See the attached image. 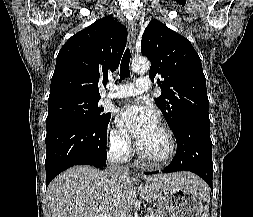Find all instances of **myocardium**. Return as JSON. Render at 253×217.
<instances>
[{
    "label": "myocardium",
    "mask_w": 253,
    "mask_h": 217,
    "mask_svg": "<svg viewBox=\"0 0 253 217\" xmlns=\"http://www.w3.org/2000/svg\"><path fill=\"white\" fill-rule=\"evenodd\" d=\"M158 127L163 131L168 141V151L164 157L158 159L150 158L142 152L139 143L136 146V150L140 160L150 166L165 165L169 163L176 154V139L173 131L165 124H160Z\"/></svg>",
    "instance_id": "obj_1"
}]
</instances>
